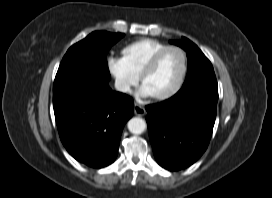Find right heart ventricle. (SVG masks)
Returning a JSON list of instances; mask_svg holds the SVG:
<instances>
[{"label": "right heart ventricle", "mask_w": 272, "mask_h": 198, "mask_svg": "<svg viewBox=\"0 0 272 198\" xmlns=\"http://www.w3.org/2000/svg\"><path fill=\"white\" fill-rule=\"evenodd\" d=\"M166 46L158 40L143 38L123 47L122 56L131 71L139 76L152 56Z\"/></svg>", "instance_id": "1"}]
</instances>
